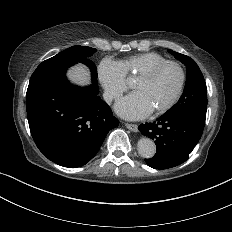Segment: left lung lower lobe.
Masks as SVG:
<instances>
[{
    "label": "left lung lower lobe",
    "instance_id": "left-lung-lower-lobe-1",
    "mask_svg": "<svg viewBox=\"0 0 232 232\" xmlns=\"http://www.w3.org/2000/svg\"><path fill=\"white\" fill-rule=\"evenodd\" d=\"M138 129L156 144L154 157L145 159L147 165L154 169H168L189 158L202 136L204 126L182 115L163 114L153 123L141 124Z\"/></svg>",
    "mask_w": 232,
    "mask_h": 232
}]
</instances>
